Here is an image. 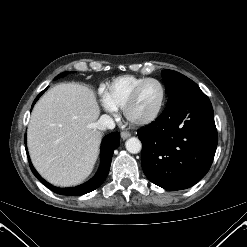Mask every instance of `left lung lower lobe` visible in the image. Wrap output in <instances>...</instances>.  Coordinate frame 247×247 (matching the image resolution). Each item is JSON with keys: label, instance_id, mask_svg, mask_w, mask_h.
Returning <instances> with one entry per match:
<instances>
[{"label": "left lung lower lobe", "instance_id": "0a47b994", "mask_svg": "<svg viewBox=\"0 0 247 247\" xmlns=\"http://www.w3.org/2000/svg\"><path fill=\"white\" fill-rule=\"evenodd\" d=\"M138 137L151 182L167 190L195 185L208 172L218 142L209 98L201 90L177 96Z\"/></svg>", "mask_w": 247, "mask_h": 247}]
</instances>
